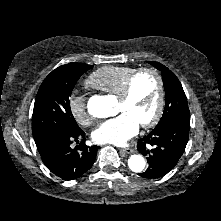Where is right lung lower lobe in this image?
Returning a JSON list of instances; mask_svg holds the SVG:
<instances>
[{
	"label": "right lung lower lobe",
	"mask_w": 221,
	"mask_h": 221,
	"mask_svg": "<svg viewBox=\"0 0 221 221\" xmlns=\"http://www.w3.org/2000/svg\"><path fill=\"white\" fill-rule=\"evenodd\" d=\"M82 140L72 149V141ZM82 129L75 132L50 131L34 136L37 149L45 166L63 180H73L86 173L93 165L97 147L84 144Z\"/></svg>",
	"instance_id": "right-lung-lower-lobe-1"
}]
</instances>
